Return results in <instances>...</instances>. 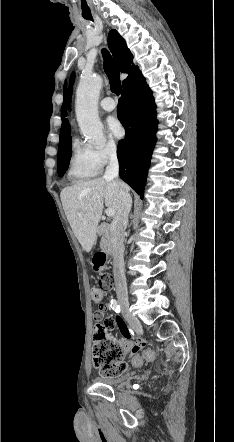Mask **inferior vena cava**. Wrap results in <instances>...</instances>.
Here are the masks:
<instances>
[{
	"instance_id": "obj_1",
	"label": "inferior vena cava",
	"mask_w": 234,
	"mask_h": 442,
	"mask_svg": "<svg viewBox=\"0 0 234 442\" xmlns=\"http://www.w3.org/2000/svg\"><path fill=\"white\" fill-rule=\"evenodd\" d=\"M109 164L103 176L106 180L116 179L119 176V163L115 148L107 150ZM132 198L128 191L121 192V201L116 216L111 224V242L113 246V273L116 286V294L119 298L127 300V285L124 273V232L128 224V216L131 211Z\"/></svg>"
}]
</instances>
